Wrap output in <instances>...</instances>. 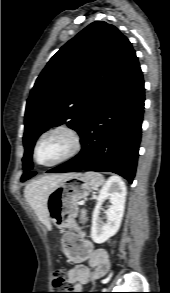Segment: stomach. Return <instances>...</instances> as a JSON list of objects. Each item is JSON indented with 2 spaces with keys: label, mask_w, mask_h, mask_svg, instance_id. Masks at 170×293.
<instances>
[{
  "label": "stomach",
  "mask_w": 170,
  "mask_h": 293,
  "mask_svg": "<svg viewBox=\"0 0 170 293\" xmlns=\"http://www.w3.org/2000/svg\"><path fill=\"white\" fill-rule=\"evenodd\" d=\"M90 192L91 186L83 174H67L49 193V220L59 228L72 227L78 215V202L86 199Z\"/></svg>",
  "instance_id": "1"
}]
</instances>
